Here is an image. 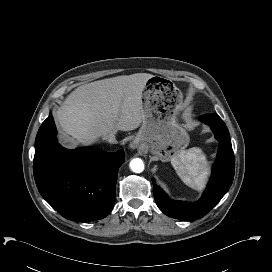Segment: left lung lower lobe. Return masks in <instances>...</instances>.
Segmentation results:
<instances>
[{"label":"left lung lower lobe","instance_id":"1","mask_svg":"<svg viewBox=\"0 0 272 272\" xmlns=\"http://www.w3.org/2000/svg\"><path fill=\"white\" fill-rule=\"evenodd\" d=\"M200 120L210 125L220 142L212 178L202 197L195 203L171 200L152 179L153 193L159 209L167 216L180 220L189 221L203 217L221 200L233 182L235 159L225 123L215 113L202 115Z\"/></svg>","mask_w":272,"mask_h":272}]
</instances>
